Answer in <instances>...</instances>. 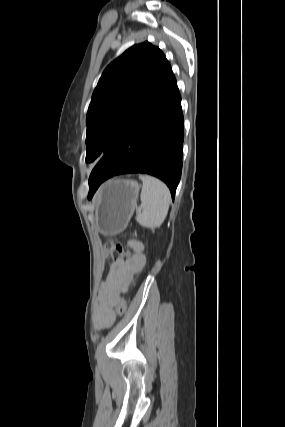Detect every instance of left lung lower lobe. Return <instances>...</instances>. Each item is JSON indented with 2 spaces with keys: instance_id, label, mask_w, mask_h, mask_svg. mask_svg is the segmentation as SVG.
Returning <instances> with one entry per match:
<instances>
[{
  "instance_id": "obj_1",
  "label": "left lung lower lobe",
  "mask_w": 285,
  "mask_h": 427,
  "mask_svg": "<svg viewBox=\"0 0 285 427\" xmlns=\"http://www.w3.org/2000/svg\"><path fill=\"white\" fill-rule=\"evenodd\" d=\"M183 137L181 96L170 67L148 105L91 172L88 197L114 175L145 173L163 180L174 199L181 177Z\"/></svg>"
}]
</instances>
